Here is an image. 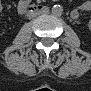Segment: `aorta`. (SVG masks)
Masks as SVG:
<instances>
[{
	"mask_svg": "<svg viewBox=\"0 0 91 91\" xmlns=\"http://www.w3.org/2000/svg\"><path fill=\"white\" fill-rule=\"evenodd\" d=\"M62 13H63V8H62L61 5H54V6L52 7V14H53L54 16H61Z\"/></svg>",
	"mask_w": 91,
	"mask_h": 91,
	"instance_id": "aorta-1",
	"label": "aorta"
}]
</instances>
